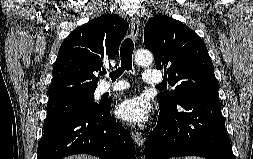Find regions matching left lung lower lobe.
Listing matches in <instances>:
<instances>
[{
    "label": "left lung lower lobe",
    "instance_id": "0a47b994",
    "mask_svg": "<svg viewBox=\"0 0 253 159\" xmlns=\"http://www.w3.org/2000/svg\"><path fill=\"white\" fill-rule=\"evenodd\" d=\"M179 156L235 159L218 99H187L174 108L160 105L157 126L145 143V159Z\"/></svg>",
    "mask_w": 253,
    "mask_h": 159
}]
</instances>
